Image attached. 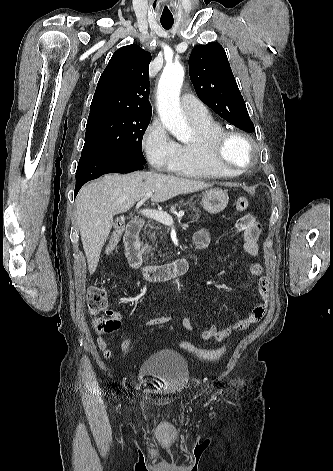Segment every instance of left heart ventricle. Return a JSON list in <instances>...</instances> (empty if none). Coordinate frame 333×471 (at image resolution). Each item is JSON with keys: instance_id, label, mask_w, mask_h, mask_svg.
<instances>
[{"instance_id": "b2bd125f", "label": "left heart ventricle", "mask_w": 333, "mask_h": 471, "mask_svg": "<svg viewBox=\"0 0 333 471\" xmlns=\"http://www.w3.org/2000/svg\"><path fill=\"white\" fill-rule=\"evenodd\" d=\"M225 157L232 163L241 164L247 157L246 147L239 141H231L225 150Z\"/></svg>"}]
</instances>
